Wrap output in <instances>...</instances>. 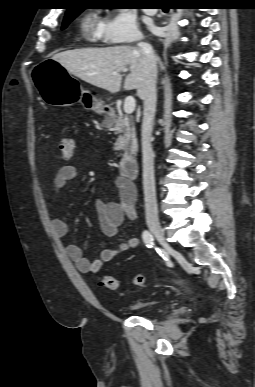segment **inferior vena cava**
<instances>
[{
  "label": "inferior vena cava",
  "instance_id": "obj_1",
  "mask_svg": "<svg viewBox=\"0 0 255 387\" xmlns=\"http://www.w3.org/2000/svg\"><path fill=\"white\" fill-rule=\"evenodd\" d=\"M143 53L144 84L138 90V96L143 100L142 152H143V189L145 214L147 222H158V209L154 178V153L152 149V129L157 102V58L150 44L139 42Z\"/></svg>",
  "mask_w": 255,
  "mask_h": 387
}]
</instances>
